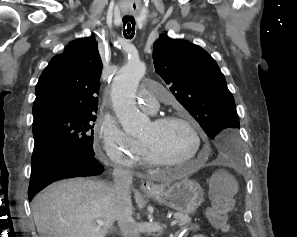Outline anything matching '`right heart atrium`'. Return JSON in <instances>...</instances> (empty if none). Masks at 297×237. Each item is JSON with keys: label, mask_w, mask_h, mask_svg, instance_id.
Masks as SVG:
<instances>
[{"label": "right heart atrium", "mask_w": 297, "mask_h": 237, "mask_svg": "<svg viewBox=\"0 0 297 237\" xmlns=\"http://www.w3.org/2000/svg\"><path fill=\"white\" fill-rule=\"evenodd\" d=\"M99 143L104 157L112 165L132 169L139 163L140 143L128 136L110 116L100 120Z\"/></svg>", "instance_id": "obj_1"}]
</instances>
